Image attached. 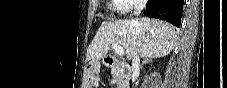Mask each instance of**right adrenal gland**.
Here are the masks:
<instances>
[{"label": "right adrenal gland", "instance_id": "1", "mask_svg": "<svg viewBox=\"0 0 227 88\" xmlns=\"http://www.w3.org/2000/svg\"><path fill=\"white\" fill-rule=\"evenodd\" d=\"M152 59V57H146L141 64V69L143 68L144 64L149 63L150 61H152Z\"/></svg>", "mask_w": 227, "mask_h": 88}]
</instances>
